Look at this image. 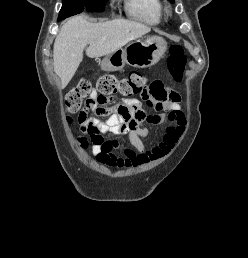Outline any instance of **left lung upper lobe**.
I'll return each mask as SVG.
<instances>
[{"instance_id":"left-lung-upper-lobe-1","label":"left lung upper lobe","mask_w":248,"mask_h":258,"mask_svg":"<svg viewBox=\"0 0 248 258\" xmlns=\"http://www.w3.org/2000/svg\"><path fill=\"white\" fill-rule=\"evenodd\" d=\"M169 1L172 2V3L174 2V0H169Z\"/></svg>"}]
</instances>
